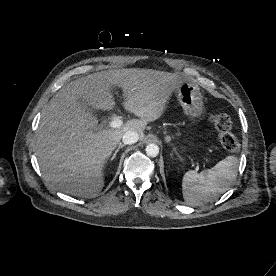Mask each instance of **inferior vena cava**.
I'll use <instances>...</instances> for the list:
<instances>
[{"instance_id": "inferior-vena-cava-1", "label": "inferior vena cava", "mask_w": 276, "mask_h": 276, "mask_svg": "<svg viewBox=\"0 0 276 276\" xmlns=\"http://www.w3.org/2000/svg\"><path fill=\"white\" fill-rule=\"evenodd\" d=\"M139 134L136 131H127L123 134L122 141L126 145L134 144L138 141Z\"/></svg>"}]
</instances>
